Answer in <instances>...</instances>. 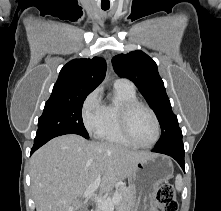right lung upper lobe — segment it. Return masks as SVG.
<instances>
[{"label":"right lung upper lobe","instance_id":"right-lung-upper-lobe-1","mask_svg":"<svg viewBox=\"0 0 221 211\" xmlns=\"http://www.w3.org/2000/svg\"><path fill=\"white\" fill-rule=\"evenodd\" d=\"M106 62L103 58L74 59L60 71L51 96H79L91 93L104 79Z\"/></svg>","mask_w":221,"mask_h":211}]
</instances>
